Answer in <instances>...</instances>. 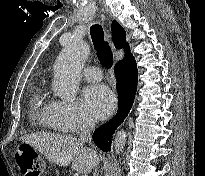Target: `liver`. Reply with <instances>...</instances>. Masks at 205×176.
Here are the masks:
<instances>
[{
	"label": "liver",
	"instance_id": "6515ba94",
	"mask_svg": "<svg viewBox=\"0 0 205 176\" xmlns=\"http://www.w3.org/2000/svg\"><path fill=\"white\" fill-rule=\"evenodd\" d=\"M25 142L42 153L49 161L59 166H68L87 176L98 164L96 151L84 147L75 137L54 133H33L20 137Z\"/></svg>",
	"mask_w": 205,
	"mask_h": 176
}]
</instances>
